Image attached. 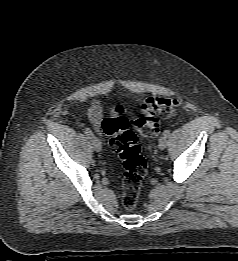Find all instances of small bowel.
Here are the masks:
<instances>
[{
	"label": "small bowel",
	"instance_id": "c3829d8e",
	"mask_svg": "<svg viewBox=\"0 0 238 261\" xmlns=\"http://www.w3.org/2000/svg\"><path fill=\"white\" fill-rule=\"evenodd\" d=\"M103 115L102 107L98 102H94L86 111V116L93 124L96 131L100 129V123Z\"/></svg>",
	"mask_w": 238,
	"mask_h": 261
}]
</instances>
